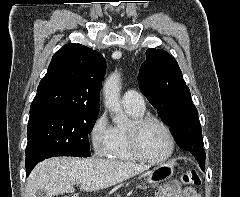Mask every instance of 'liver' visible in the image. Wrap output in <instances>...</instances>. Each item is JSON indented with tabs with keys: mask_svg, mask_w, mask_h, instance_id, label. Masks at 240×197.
Here are the masks:
<instances>
[{
	"mask_svg": "<svg viewBox=\"0 0 240 197\" xmlns=\"http://www.w3.org/2000/svg\"><path fill=\"white\" fill-rule=\"evenodd\" d=\"M149 166L98 158L54 157L39 163L26 184V197L39 189L49 196L73 193L74 185L86 192L108 188L147 170Z\"/></svg>",
	"mask_w": 240,
	"mask_h": 197,
	"instance_id": "liver-1",
	"label": "liver"
}]
</instances>
